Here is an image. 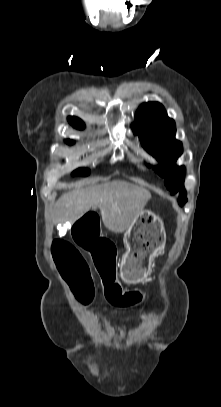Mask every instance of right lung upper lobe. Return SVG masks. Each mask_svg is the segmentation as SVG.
I'll return each instance as SVG.
<instances>
[{
    "instance_id": "obj_1",
    "label": "right lung upper lobe",
    "mask_w": 221,
    "mask_h": 407,
    "mask_svg": "<svg viewBox=\"0 0 221 407\" xmlns=\"http://www.w3.org/2000/svg\"><path fill=\"white\" fill-rule=\"evenodd\" d=\"M68 121H69V123L73 126V127H75V128H77V129H83L84 128V123H83V121L82 120H80L79 118H77V117H68ZM67 143H73L71 140H67Z\"/></svg>"
}]
</instances>
